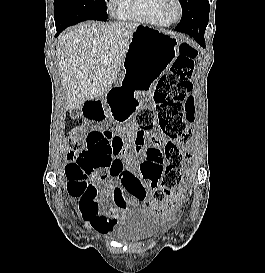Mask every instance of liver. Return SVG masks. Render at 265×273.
Segmentation results:
<instances>
[{
	"instance_id": "6515ba94",
	"label": "liver",
	"mask_w": 265,
	"mask_h": 273,
	"mask_svg": "<svg viewBox=\"0 0 265 273\" xmlns=\"http://www.w3.org/2000/svg\"><path fill=\"white\" fill-rule=\"evenodd\" d=\"M138 23L87 22L59 36L57 57L65 84L66 108L104 95L119 75Z\"/></svg>"
}]
</instances>
